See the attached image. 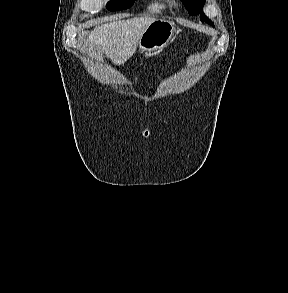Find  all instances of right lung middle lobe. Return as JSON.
Listing matches in <instances>:
<instances>
[{"mask_svg": "<svg viewBox=\"0 0 288 293\" xmlns=\"http://www.w3.org/2000/svg\"><path fill=\"white\" fill-rule=\"evenodd\" d=\"M135 0H111L106 7L110 11H118L131 7Z\"/></svg>", "mask_w": 288, "mask_h": 293, "instance_id": "obj_1", "label": "right lung middle lobe"}]
</instances>
